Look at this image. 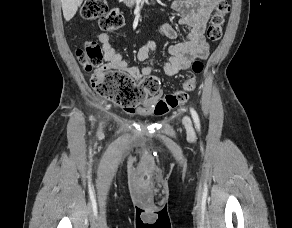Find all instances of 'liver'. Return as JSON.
I'll return each instance as SVG.
<instances>
[{"instance_id":"obj_1","label":"liver","mask_w":292,"mask_h":228,"mask_svg":"<svg viewBox=\"0 0 292 228\" xmlns=\"http://www.w3.org/2000/svg\"><path fill=\"white\" fill-rule=\"evenodd\" d=\"M83 0H61L63 15L66 21L74 17Z\"/></svg>"}]
</instances>
